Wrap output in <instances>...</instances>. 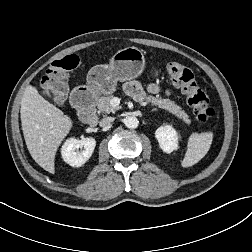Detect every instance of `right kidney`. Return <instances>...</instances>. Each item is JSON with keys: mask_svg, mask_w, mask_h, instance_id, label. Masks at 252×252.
<instances>
[{"mask_svg": "<svg viewBox=\"0 0 252 252\" xmlns=\"http://www.w3.org/2000/svg\"><path fill=\"white\" fill-rule=\"evenodd\" d=\"M96 141L93 138H83L77 140L70 138L66 140L61 148L63 160L72 167H81L84 165L95 149ZM79 149H81L79 151Z\"/></svg>", "mask_w": 252, "mask_h": 252, "instance_id": "obj_1", "label": "right kidney"}]
</instances>
